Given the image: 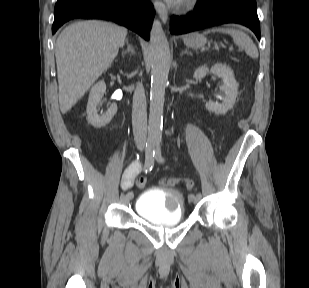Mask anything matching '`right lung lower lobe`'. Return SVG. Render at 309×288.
Masks as SVG:
<instances>
[{
  "instance_id": "obj_1",
  "label": "right lung lower lobe",
  "mask_w": 309,
  "mask_h": 288,
  "mask_svg": "<svg viewBox=\"0 0 309 288\" xmlns=\"http://www.w3.org/2000/svg\"><path fill=\"white\" fill-rule=\"evenodd\" d=\"M81 17L113 20L149 40L154 10L149 0H66L56 4L52 33Z\"/></svg>"
}]
</instances>
